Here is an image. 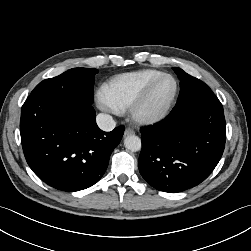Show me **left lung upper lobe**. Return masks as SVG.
<instances>
[{
    "instance_id": "obj_1",
    "label": "left lung upper lobe",
    "mask_w": 251,
    "mask_h": 251,
    "mask_svg": "<svg viewBox=\"0 0 251 251\" xmlns=\"http://www.w3.org/2000/svg\"><path fill=\"white\" fill-rule=\"evenodd\" d=\"M173 70L175 71L180 80V93L192 88V86H195L196 84H205L199 79L190 76L180 68L174 67Z\"/></svg>"
}]
</instances>
